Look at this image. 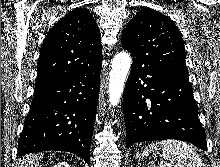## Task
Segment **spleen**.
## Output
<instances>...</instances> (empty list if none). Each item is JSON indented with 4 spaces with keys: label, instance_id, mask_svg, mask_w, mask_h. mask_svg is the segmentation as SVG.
Instances as JSON below:
<instances>
[{
    "label": "spleen",
    "instance_id": "3e777b00",
    "mask_svg": "<svg viewBox=\"0 0 220 167\" xmlns=\"http://www.w3.org/2000/svg\"><path fill=\"white\" fill-rule=\"evenodd\" d=\"M163 150V158L169 160L174 167H203L202 159L194 147L186 142L179 140H163L152 143L144 150L147 156L157 150ZM163 164L159 165L162 167Z\"/></svg>",
    "mask_w": 220,
    "mask_h": 167
}]
</instances>
